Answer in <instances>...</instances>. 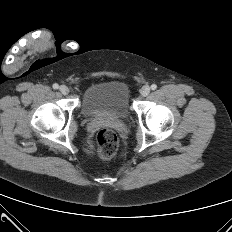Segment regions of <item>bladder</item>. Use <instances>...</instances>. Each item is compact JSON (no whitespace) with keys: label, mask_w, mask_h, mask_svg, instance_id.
<instances>
[{"label":"bladder","mask_w":232,"mask_h":232,"mask_svg":"<svg viewBox=\"0 0 232 232\" xmlns=\"http://www.w3.org/2000/svg\"><path fill=\"white\" fill-rule=\"evenodd\" d=\"M81 111L87 117L108 115L125 118L130 114L129 87L123 80L109 79L90 86L81 100Z\"/></svg>","instance_id":"31cf9c89"}]
</instances>
